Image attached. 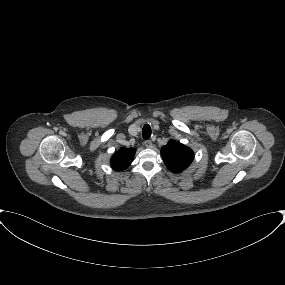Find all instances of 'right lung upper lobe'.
<instances>
[{"label": "right lung upper lobe", "instance_id": "1", "mask_svg": "<svg viewBox=\"0 0 285 285\" xmlns=\"http://www.w3.org/2000/svg\"><path fill=\"white\" fill-rule=\"evenodd\" d=\"M136 150L133 148H121L111 158V167L116 171L126 169L133 161Z\"/></svg>", "mask_w": 285, "mask_h": 285}]
</instances>
